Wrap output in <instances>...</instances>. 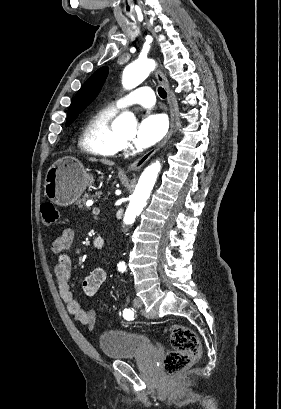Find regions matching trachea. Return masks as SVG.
Instances as JSON below:
<instances>
[{
	"label": "trachea",
	"mask_w": 281,
	"mask_h": 409,
	"mask_svg": "<svg viewBox=\"0 0 281 409\" xmlns=\"http://www.w3.org/2000/svg\"><path fill=\"white\" fill-rule=\"evenodd\" d=\"M158 94L161 98L165 99L167 96L166 91L164 90V88L162 87H158Z\"/></svg>",
	"instance_id": "3493384b"
}]
</instances>
